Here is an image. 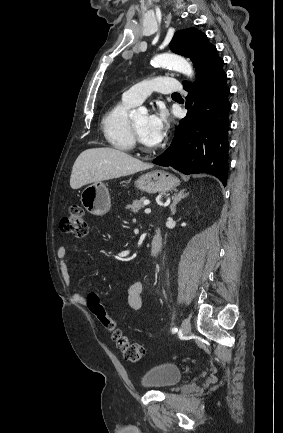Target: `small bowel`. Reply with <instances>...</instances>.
<instances>
[{
    "mask_svg": "<svg viewBox=\"0 0 283 433\" xmlns=\"http://www.w3.org/2000/svg\"><path fill=\"white\" fill-rule=\"evenodd\" d=\"M67 248L65 246H60L57 248L56 254L59 260V267L61 275L67 285L71 283V277L69 272L68 260H67ZM144 289V284L140 281L134 282L128 288L127 301L129 306L135 310H141L143 306L142 292ZM72 300L81 305L86 304V298L79 292H74L72 294Z\"/></svg>",
    "mask_w": 283,
    "mask_h": 433,
    "instance_id": "1",
    "label": "small bowel"
}]
</instances>
